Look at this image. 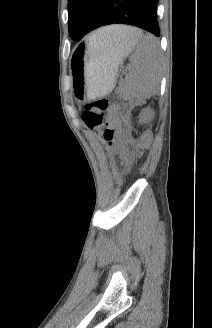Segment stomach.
<instances>
[{
  "label": "stomach",
  "mask_w": 212,
  "mask_h": 328,
  "mask_svg": "<svg viewBox=\"0 0 212 328\" xmlns=\"http://www.w3.org/2000/svg\"><path fill=\"white\" fill-rule=\"evenodd\" d=\"M136 42L115 49L92 48L88 42L84 46L79 45L71 62L74 86L79 95L96 98L109 93L116 82L122 58L132 51Z\"/></svg>",
  "instance_id": "obj_1"
}]
</instances>
